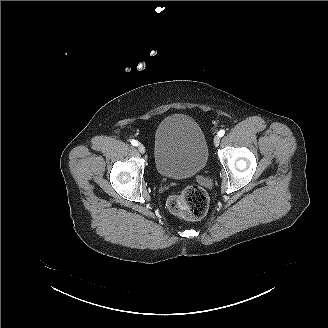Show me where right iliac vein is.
<instances>
[{
  "instance_id": "63e3f726",
  "label": "right iliac vein",
  "mask_w": 328,
  "mask_h": 328,
  "mask_svg": "<svg viewBox=\"0 0 328 328\" xmlns=\"http://www.w3.org/2000/svg\"><path fill=\"white\" fill-rule=\"evenodd\" d=\"M138 150L142 154L146 152V148H145V146L143 144H139L138 145Z\"/></svg>"
}]
</instances>
